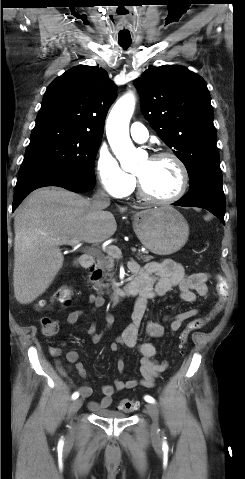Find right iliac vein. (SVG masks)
I'll use <instances>...</instances> for the list:
<instances>
[{
	"mask_svg": "<svg viewBox=\"0 0 245 479\" xmlns=\"http://www.w3.org/2000/svg\"><path fill=\"white\" fill-rule=\"evenodd\" d=\"M81 406H82L81 399L74 400L70 405V409H69L70 415L72 416L75 415L77 411L81 408Z\"/></svg>",
	"mask_w": 245,
	"mask_h": 479,
	"instance_id": "obj_1",
	"label": "right iliac vein"
}]
</instances>
